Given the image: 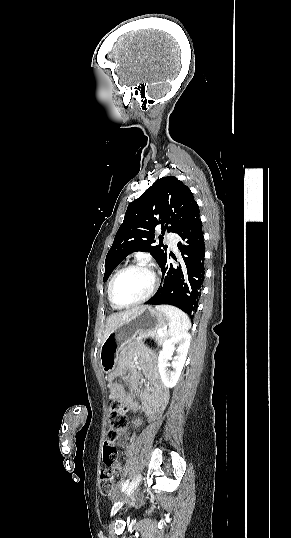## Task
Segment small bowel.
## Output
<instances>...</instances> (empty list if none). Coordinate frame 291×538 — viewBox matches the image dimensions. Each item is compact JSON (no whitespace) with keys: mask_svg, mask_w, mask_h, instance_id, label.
<instances>
[{"mask_svg":"<svg viewBox=\"0 0 291 538\" xmlns=\"http://www.w3.org/2000/svg\"><path fill=\"white\" fill-rule=\"evenodd\" d=\"M140 370L146 375L149 384L148 388L141 393L140 403L119 383L122 377L133 390H137L139 385V368L135 360L128 353L121 355L120 364L117 369L113 367V369L108 371L109 396L111 400L119 402L127 410L138 412L145 417L151 418L165 398L166 390L161 383L158 365L155 359L152 357L141 359ZM133 424L138 426L141 424V420L135 419ZM127 440L126 433L121 431L117 437L118 445L126 447ZM112 469L119 473L122 467L119 463H116Z\"/></svg>","mask_w":291,"mask_h":538,"instance_id":"small-bowel-1","label":"small bowel"}]
</instances>
